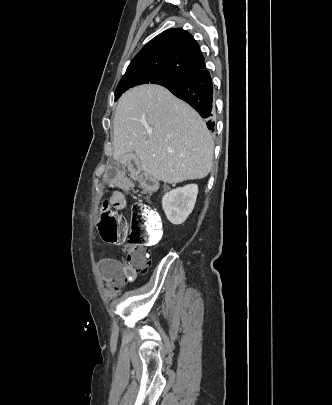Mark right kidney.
I'll use <instances>...</instances> for the list:
<instances>
[{
    "label": "right kidney",
    "instance_id": "right-kidney-1",
    "mask_svg": "<svg viewBox=\"0 0 332 405\" xmlns=\"http://www.w3.org/2000/svg\"><path fill=\"white\" fill-rule=\"evenodd\" d=\"M198 194V186L189 184L164 194L162 207L169 222L180 225L193 211Z\"/></svg>",
    "mask_w": 332,
    "mask_h": 405
}]
</instances>
